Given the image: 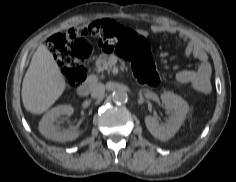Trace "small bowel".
Returning a JSON list of instances; mask_svg holds the SVG:
<instances>
[{"label":"small bowel","mask_w":236,"mask_h":182,"mask_svg":"<svg viewBox=\"0 0 236 182\" xmlns=\"http://www.w3.org/2000/svg\"><path fill=\"white\" fill-rule=\"evenodd\" d=\"M151 30L157 34H177L180 37L185 44L184 55L186 57L193 56L198 60V65L195 68L180 70L176 75L177 81L188 86L191 93L208 94L211 89V65L202 43L197 38L188 36L168 24H155L151 27Z\"/></svg>","instance_id":"small-bowel-1"}]
</instances>
